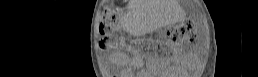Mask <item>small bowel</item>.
Masks as SVG:
<instances>
[{
  "label": "small bowel",
  "instance_id": "obj_1",
  "mask_svg": "<svg viewBox=\"0 0 258 77\" xmlns=\"http://www.w3.org/2000/svg\"><path fill=\"white\" fill-rule=\"evenodd\" d=\"M121 53H117V56H120ZM125 63L128 66V69H131L132 67L139 66L141 64V60L139 58L130 57L125 60ZM130 72V71H127Z\"/></svg>",
  "mask_w": 258,
  "mask_h": 77
}]
</instances>
